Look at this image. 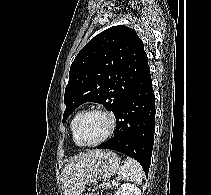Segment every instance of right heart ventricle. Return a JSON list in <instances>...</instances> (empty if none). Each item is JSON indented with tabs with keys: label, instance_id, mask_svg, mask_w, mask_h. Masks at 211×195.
Returning a JSON list of instances; mask_svg holds the SVG:
<instances>
[{
	"label": "right heart ventricle",
	"instance_id": "obj_1",
	"mask_svg": "<svg viewBox=\"0 0 211 195\" xmlns=\"http://www.w3.org/2000/svg\"><path fill=\"white\" fill-rule=\"evenodd\" d=\"M80 114H81V112L76 113V114L73 116V118H72V120H71V122H70V129H71V133H72V138H73L74 143H75L77 146H81V145L78 143V141H77V139H76V136H75L76 122H77V120H78Z\"/></svg>",
	"mask_w": 211,
	"mask_h": 195
}]
</instances>
